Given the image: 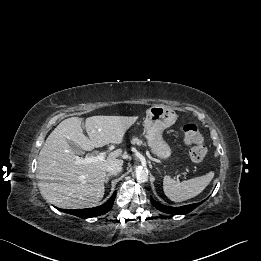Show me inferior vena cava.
I'll return each instance as SVG.
<instances>
[{
  "label": "inferior vena cava",
  "mask_w": 261,
  "mask_h": 261,
  "mask_svg": "<svg viewBox=\"0 0 261 261\" xmlns=\"http://www.w3.org/2000/svg\"><path fill=\"white\" fill-rule=\"evenodd\" d=\"M123 161L117 160L111 164H109L106 168L108 175H115L122 171Z\"/></svg>",
  "instance_id": "602c4592"
}]
</instances>
